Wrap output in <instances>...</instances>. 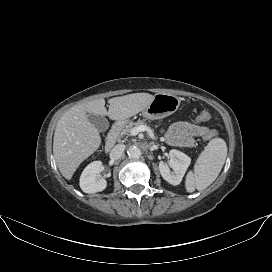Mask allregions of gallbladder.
Segmentation results:
<instances>
[{
    "label": "gallbladder",
    "instance_id": "bac80fb5",
    "mask_svg": "<svg viewBox=\"0 0 272 272\" xmlns=\"http://www.w3.org/2000/svg\"><path fill=\"white\" fill-rule=\"evenodd\" d=\"M87 117L90 123H92L98 131L104 132L108 129L109 122L104 116L87 113Z\"/></svg>",
    "mask_w": 272,
    "mask_h": 272
}]
</instances>
